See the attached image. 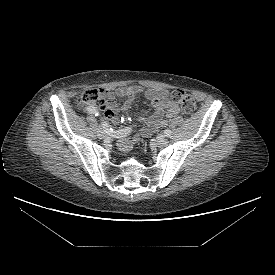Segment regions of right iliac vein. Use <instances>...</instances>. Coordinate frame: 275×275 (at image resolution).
I'll list each match as a JSON object with an SVG mask.
<instances>
[{"instance_id": "63e3f726", "label": "right iliac vein", "mask_w": 275, "mask_h": 275, "mask_svg": "<svg viewBox=\"0 0 275 275\" xmlns=\"http://www.w3.org/2000/svg\"><path fill=\"white\" fill-rule=\"evenodd\" d=\"M97 134H98V137L100 139H103V138L106 137V132H105V130H103V128L101 127V125L99 126Z\"/></svg>"}]
</instances>
